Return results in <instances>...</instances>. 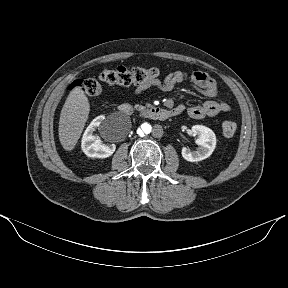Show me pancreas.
I'll list each match as a JSON object with an SVG mask.
<instances>
[{
	"instance_id": "1",
	"label": "pancreas",
	"mask_w": 288,
	"mask_h": 288,
	"mask_svg": "<svg viewBox=\"0 0 288 288\" xmlns=\"http://www.w3.org/2000/svg\"><path fill=\"white\" fill-rule=\"evenodd\" d=\"M135 109L138 110V111H142V110L145 109V107L142 106V105L136 104V105H135Z\"/></svg>"
}]
</instances>
